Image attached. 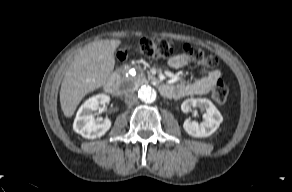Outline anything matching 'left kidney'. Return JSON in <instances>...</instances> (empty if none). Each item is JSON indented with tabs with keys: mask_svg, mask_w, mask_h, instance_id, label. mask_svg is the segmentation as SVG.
I'll return each instance as SVG.
<instances>
[{
	"mask_svg": "<svg viewBox=\"0 0 292 192\" xmlns=\"http://www.w3.org/2000/svg\"><path fill=\"white\" fill-rule=\"evenodd\" d=\"M198 107L206 112L203 114V121L199 124L196 121L186 119L183 124L184 130L193 137L202 138L212 135L220 126L223 117L215 105L206 98L186 99L181 104V109L187 113L191 108Z\"/></svg>",
	"mask_w": 292,
	"mask_h": 192,
	"instance_id": "1",
	"label": "left kidney"
}]
</instances>
